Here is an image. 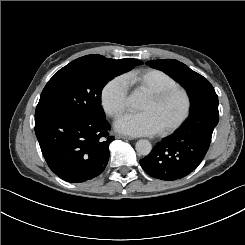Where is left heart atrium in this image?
I'll list each match as a JSON object with an SVG mask.
<instances>
[{
    "label": "left heart atrium",
    "instance_id": "39dd6f15",
    "mask_svg": "<svg viewBox=\"0 0 245 245\" xmlns=\"http://www.w3.org/2000/svg\"><path fill=\"white\" fill-rule=\"evenodd\" d=\"M116 129L130 135H147L158 133L161 126L154 115L146 111L119 119Z\"/></svg>",
    "mask_w": 245,
    "mask_h": 245
}]
</instances>
